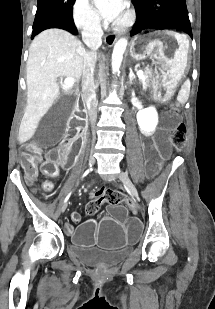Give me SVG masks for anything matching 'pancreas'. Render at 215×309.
Returning a JSON list of instances; mask_svg holds the SVG:
<instances>
[{"instance_id":"cf45deb5","label":"pancreas","mask_w":215,"mask_h":309,"mask_svg":"<svg viewBox=\"0 0 215 309\" xmlns=\"http://www.w3.org/2000/svg\"><path fill=\"white\" fill-rule=\"evenodd\" d=\"M149 74L150 72H148V70H144V80H141L143 86H149L150 84V78H149Z\"/></svg>"}]
</instances>
